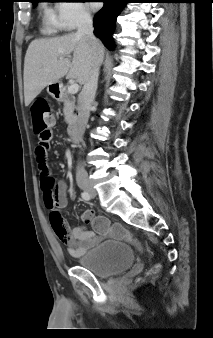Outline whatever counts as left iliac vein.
<instances>
[{"label": "left iliac vein", "mask_w": 213, "mask_h": 338, "mask_svg": "<svg viewBox=\"0 0 213 338\" xmlns=\"http://www.w3.org/2000/svg\"><path fill=\"white\" fill-rule=\"evenodd\" d=\"M91 195L94 197V196H95V193H91Z\"/></svg>", "instance_id": "left-iliac-vein-1"}]
</instances>
